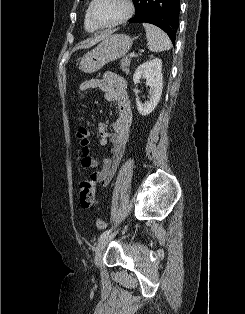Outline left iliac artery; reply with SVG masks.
Masks as SVG:
<instances>
[{"label":"left iliac artery","instance_id":"44dca946","mask_svg":"<svg viewBox=\"0 0 245 314\" xmlns=\"http://www.w3.org/2000/svg\"><path fill=\"white\" fill-rule=\"evenodd\" d=\"M112 231V229H108L106 231H104L101 235H100V239H102L103 237L107 236L108 234H110V232Z\"/></svg>","mask_w":245,"mask_h":314}]
</instances>
